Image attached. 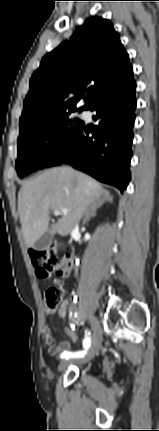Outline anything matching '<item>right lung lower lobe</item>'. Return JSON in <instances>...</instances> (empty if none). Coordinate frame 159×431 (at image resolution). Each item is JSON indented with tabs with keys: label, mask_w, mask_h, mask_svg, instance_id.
<instances>
[{
	"label": "right lung lower lobe",
	"mask_w": 159,
	"mask_h": 431,
	"mask_svg": "<svg viewBox=\"0 0 159 431\" xmlns=\"http://www.w3.org/2000/svg\"><path fill=\"white\" fill-rule=\"evenodd\" d=\"M136 83L133 77L100 97L88 110L98 125L84 124L65 141L46 167L70 164L97 180L125 190L130 181ZM92 137H89V134Z\"/></svg>",
	"instance_id": "obj_1"
}]
</instances>
